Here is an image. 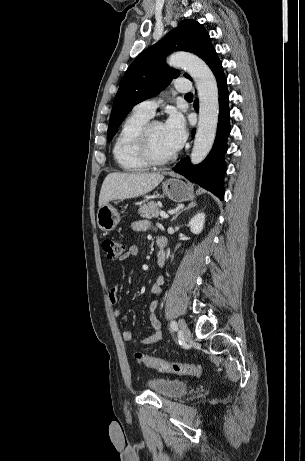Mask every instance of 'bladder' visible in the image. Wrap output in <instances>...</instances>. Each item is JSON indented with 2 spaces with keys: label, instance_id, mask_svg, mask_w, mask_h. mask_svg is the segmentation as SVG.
I'll return each mask as SVG.
<instances>
[{
  "label": "bladder",
  "instance_id": "obj_1",
  "mask_svg": "<svg viewBox=\"0 0 305 461\" xmlns=\"http://www.w3.org/2000/svg\"><path fill=\"white\" fill-rule=\"evenodd\" d=\"M149 388L156 394L166 398H175L188 390V382L181 379L154 377L147 381Z\"/></svg>",
  "mask_w": 305,
  "mask_h": 461
}]
</instances>
